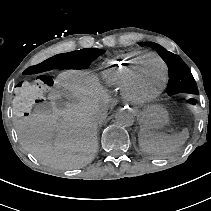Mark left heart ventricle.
Returning <instances> with one entry per match:
<instances>
[{
	"instance_id": "b2bd125f",
	"label": "left heart ventricle",
	"mask_w": 211,
	"mask_h": 211,
	"mask_svg": "<svg viewBox=\"0 0 211 211\" xmlns=\"http://www.w3.org/2000/svg\"><path fill=\"white\" fill-rule=\"evenodd\" d=\"M162 68L154 59L145 60L139 69L137 87L142 94H152L162 83Z\"/></svg>"
}]
</instances>
